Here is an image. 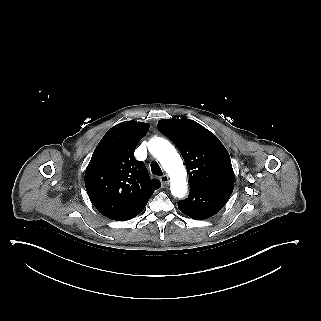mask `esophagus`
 Segmentation results:
<instances>
[{
  "label": "esophagus",
  "instance_id": "obj_1",
  "mask_svg": "<svg viewBox=\"0 0 321 321\" xmlns=\"http://www.w3.org/2000/svg\"><path fill=\"white\" fill-rule=\"evenodd\" d=\"M160 182L162 184V187H167L169 185V176L167 174H164L161 178H160Z\"/></svg>",
  "mask_w": 321,
  "mask_h": 321
}]
</instances>
